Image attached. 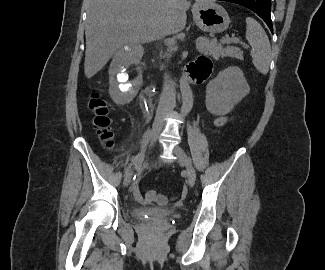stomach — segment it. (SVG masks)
Instances as JSON below:
<instances>
[{"label":"stomach","instance_id":"0dacf381","mask_svg":"<svg viewBox=\"0 0 325 270\" xmlns=\"http://www.w3.org/2000/svg\"><path fill=\"white\" fill-rule=\"evenodd\" d=\"M193 17L200 29L212 33L224 31L230 23L225 9L215 3H197L193 8Z\"/></svg>","mask_w":325,"mask_h":270}]
</instances>
